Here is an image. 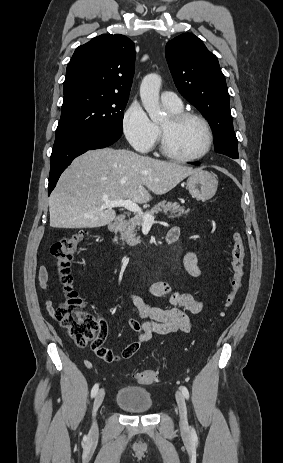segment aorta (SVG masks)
Returning <instances> with one entry per match:
<instances>
[{
  "mask_svg": "<svg viewBox=\"0 0 283 463\" xmlns=\"http://www.w3.org/2000/svg\"><path fill=\"white\" fill-rule=\"evenodd\" d=\"M160 86L161 77L157 74L146 75L140 86L142 104L153 122H158L164 118V112L159 104Z\"/></svg>",
  "mask_w": 283,
  "mask_h": 463,
  "instance_id": "obj_1",
  "label": "aorta"
}]
</instances>
